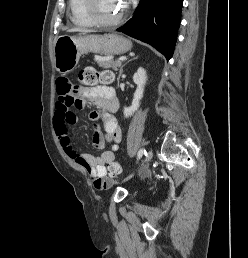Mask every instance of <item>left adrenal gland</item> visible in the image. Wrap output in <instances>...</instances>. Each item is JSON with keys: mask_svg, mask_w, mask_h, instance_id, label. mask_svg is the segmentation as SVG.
<instances>
[{"mask_svg": "<svg viewBox=\"0 0 248 258\" xmlns=\"http://www.w3.org/2000/svg\"><path fill=\"white\" fill-rule=\"evenodd\" d=\"M138 57H134L133 59L129 60L127 63H129L130 61L134 60V59H137ZM125 63L121 68H120V71H119V77L122 75L123 73V67L127 64Z\"/></svg>", "mask_w": 248, "mask_h": 258, "instance_id": "left-adrenal-gland-1", "label": "left adrenal gland"}]
</instances>
